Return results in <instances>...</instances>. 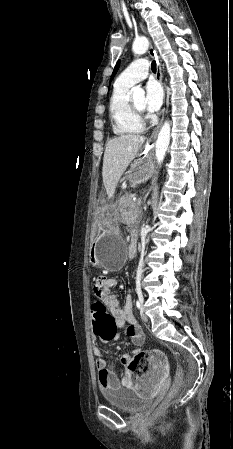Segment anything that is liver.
I'll return each instance as SVG.
<instances>
[{
  "instance_id": "liver-1",
  "label": "liver",
  "mask_w": 233,
  "mask_h": 449,
  "mask_svg": "<svg viewBox=\"0 0 233 449\" xmlns=\"http://www.w3.org/2000/svg\"><path fill=\"white\" fill-rule=\"evenodd\" d=\"M145 139L144 136L126 134L115 137L106 144L102 177L108 199L113 197L121 176L137 156Z\"/></svg>"
}]
</instances>
